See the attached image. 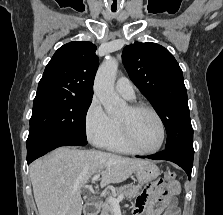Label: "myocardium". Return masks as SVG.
Instances as JSON below:
<instances>
[{
  "instance_id": "f54148a6",
  "label": "myocardium",
  "mask_w": 223,
  "mask_h": 215,
  "mask_svg": "<svg viewBox=\"0 0 223 215\" xmlns=\"http://www.w3.org/2000/svg\"><path fill=\"white\" fill-rule=\"evenodd\" d=\"M128 108L130 112L132 113H135L138 111H147L150 114H152V116L155 118L158 124L160 137H159L158 144L153 149L139 150L138 148L135 147V145L132 142L128 124L125 121L119 120L121 138L124 144L126 145V147L130 150V152L134 154H138V155H147V154H153V153L158 152L161 149L164 139H165V127L159 114L156 112L154 108H152L151 106L145 103L132 104V105H129Z\"/></svg>"
}]
</instances>
